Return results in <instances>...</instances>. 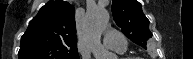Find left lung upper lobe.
<instances>
[{
  "mask_svg": "<svg viewBox=\"0 0 193 59\" xmlns=\"http://www.w3.org/2000/svg\"><path fill=\"white\" fill-rule=\"evenodd\" d=\"M112 15L131 41L147 49L146 43L152 33L149 30V20L137 0H112Z\"/></svg>",
  "mask_w": 193,
  "mask_h": 59,
  "instance_id": "left-lung-upper-lobe-1",
  "label": "left lung upper lobe"
}]
</instances>
